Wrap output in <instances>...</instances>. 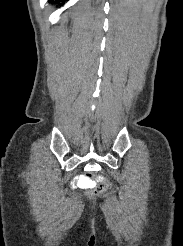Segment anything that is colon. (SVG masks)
Segmentation results:
<instances>
[{
	"mask_svg": "<svg viewBox=\"0 0 183 246\" xmlns=\"http://www.w3.org/2000/svg\"><path fill=\"white\" fill-rule=\"evenodd\" d=\"M86 174H88V196H98L104 191L106 187H108L109 182H95V170H86Z\"/></svg>",
	"mask_w": 183,
	"mask_h": 246,
	"instance_id": "5ec220e1",
	"label": "colon"
}]
</instances>
